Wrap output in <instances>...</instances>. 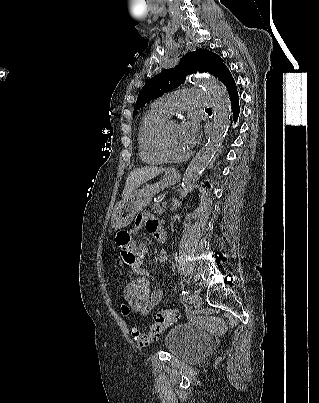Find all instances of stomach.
Masks as SVG:
<instances>
[{
	"instance_id": "1",
	"label": "stomach",
	"mask_w": 319,
	"mask_h": 403,
	"mask_svg": "<svg viewBox=\"0 0 319 403\" xmlns=\"http://www.w3.org/2000/svg\"><path fill=\"white\" fill-rule=\"evenodd\" d=\"M177 180L176 173L167 171L159 182L134 190L128 198L115 206L111 217L112 228L117 230L128 226L135 215L150 203L156 193L174 185Z\"/></svg>"
}]
</instances>
